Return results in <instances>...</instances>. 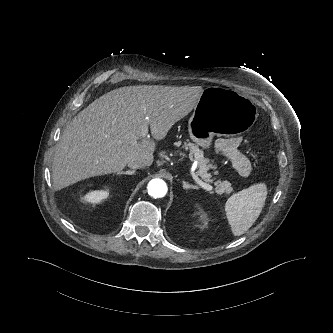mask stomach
Here are the masks:
<instances>
[{
	"instance_id": "stomach-1",
	"label": "stomach",
	"mask_w": 333,
	"mask_h": 333,
	"mask_svg": "<svg viewBox=\"0 0 333 333\" xmlns=\"http://www.w3.org/2000/svg\"><path fill=\"white\" fill-rule=\"evenodd\" d=\"M256 107L245 96L222 87H210L200 93L188 122L190 139L202 149H209L215 135L232 136L252 128Z\"/></svg>"
}]
</instances>
